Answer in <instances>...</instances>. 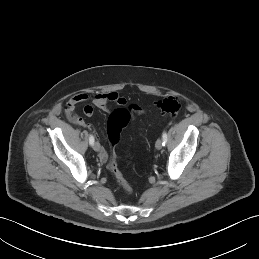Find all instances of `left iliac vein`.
I'll return each instance as SVG.
<instances>
[{"mask_svg": "<svg viewBox=\"0 0 259 259\" xmlns=\"http://www.w3.org/2000/svg\"><path fill=\"white\" fill-rule=\"evenodd\" d=\"M162 143H163V140L162 139H158L155 143V147L156 149L160 150L162 148Z\"/></svg>", "mask_w": 259, "mask_h": 259, "instance_id": "4c4485c4", "label": "left iliac vein"}]
</instances>
